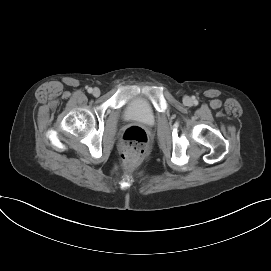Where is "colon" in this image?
I'll return each instance as SVG.
<instances>
[{
    "label": "colon",
    "instance_id": "1",
    "mask_svg": "<svg viewBox=\"0 0 271 271\" xmlns=\"http://www.w3.org/2000/svg\"><path fill=\"white\" fill-rule=\"evenodd\" d=\"M148 135L139 126L129 127L122 137V160L127 165H134L146 152Z\"/></svg>",
    "mask_w": 271,
    "mask_h": 271
}]
</instances>
